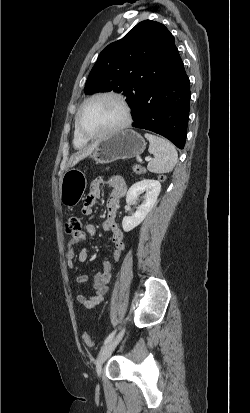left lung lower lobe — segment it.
<instances>
[{"mask_svg":"<svg viewBox=\"0 0 250 413\" xmlns=\"http://www.w3.org/2000/svg\"><path fill=\"white\" fill-rule=\"evenodd\" d=\"M190 97L189 78L173 44L164 68L142 83L131 105L132 126L160 134L183 149Z\"/></svg>","mask_w":250,"mask_h":413,"instance_id":"0a47b994","label":"left lung lower lobe"}]
</instances>
